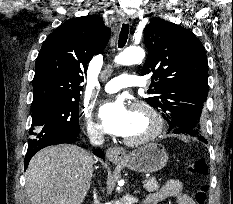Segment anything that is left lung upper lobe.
<instances>
[{"mask_svg":"<svg viewBox=\"0 0 233 204\" xmlns=\"http://www.w3.org/2000/svg\"><path fill=\"white\" fill-rule=\"evenodd\" d=\"M148 56L141 75L151 78L145 101L158 109L169 123V133L202 136L200 117L208 93V62L202 43L188 29L160 18H152L144 29ZM195 110L188 126L174 123L177 114Z\"/></svg>","mask_w":233,"mask_h":204,"instance_id":"left-lung-upper-lobe-1","label":"left lung upper lobe"}]
</instances>
